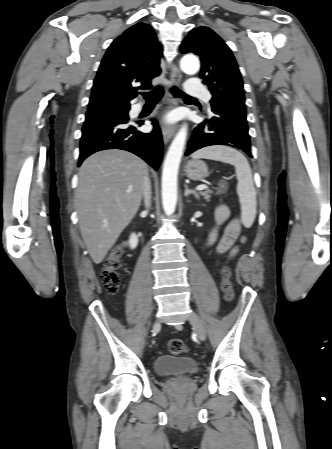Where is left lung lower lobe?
I'll use <instances>...</instances> for the list:
<instances>
[{"mask_svg": "<svg viewBox=\"0 0 332 449\" xmlns=\"http://www.w3.org/2000/svg\"><path fill=\"white\" fill-rule=\"evenodd\" d=\"M211 145L236 147L252 157L246 114L212 109V116L194 129L185 155Z\"/></svg>", "mask_w": 332, "mask_h": 449, "instance_id": "1", "label": "left lung lower lobe"}]
</instances>
